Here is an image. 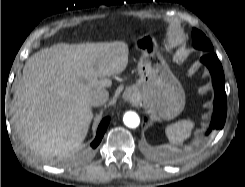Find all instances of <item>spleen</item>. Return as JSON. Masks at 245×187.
Masks as SVG:
<instances>
[{"label":"spleen","mask_w":245,"mask_h":187,"mask_svg":"<svg viewBox=\"0 0 245 187\" xmlns=\"http://www.w3.org/2000/svg\"><path fill=\"white\" fill-rule=\"evenodd\" d=\"M194 127L191 120H180L166 127L165 133L172 144H181L190 135Z\"/></svg>","instance_id":"1"}]
</instances>
